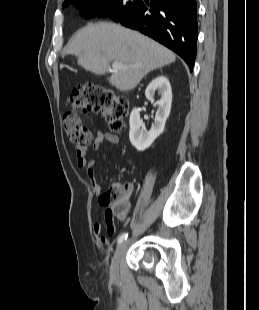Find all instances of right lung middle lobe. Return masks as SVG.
<instances>
[{
  "instance_id": "obj_1",
  "label": "right lung middle lobe",
  "mask_w": 259,
  "mask_h": 310,
  "mask_svg": "<svg viewBox=\"0 0 259 310\" xmlns=\"http://www.w3.org/2000/svg\"><path fill=\"white\" fill-rule=\"evenodd\" d=\"M137 1L98 0L85 2L77 0L64 3L62 7L65 8L70 3H74L80 9V15L85 18L110 16L114 21H119L137 6Z\"/></svg>"
}]
</instances>
